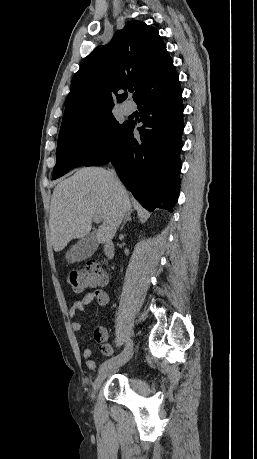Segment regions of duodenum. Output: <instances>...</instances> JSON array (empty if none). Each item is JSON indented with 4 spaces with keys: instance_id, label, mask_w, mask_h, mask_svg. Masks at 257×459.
<instances>
[{
    "instance_id": "410a0bca",
    "label": "duodenum",
    "mask_w": 257,
    "mask_h": 459,
    "mask_svg": "<svg viewBox=\"0 0 257 459\" xmlns=\"http://www.w3.org/2000/svg\"><path fill=\"white\" fill-rule=\"evenodd\" d=\"M103 248H104V251L105 253L108 255V256H111L112 253H113V244L111 241L107 240V241H104L103 242Z\"/></svg>"
}]
</instances>
